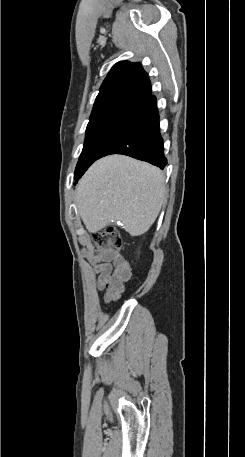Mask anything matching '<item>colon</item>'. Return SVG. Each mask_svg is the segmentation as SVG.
<instances>
[{
	"instance_id": "colon-1",
	"label": "colon",
	"mask_w": 245,
	"mask_h": 457,
	"mask_svg": "<svg viewBox=\"0 0 245 457\" xmlns=\"http://www.w3.org/2000/svg\"><path fill=\"white\" fill-rule=\"evenodd\" d=\"M92 243L100 255H109L117 253L121 249L123 239L118 228L108 226L92 236Z\"/></svg>"
}]
</instances>
